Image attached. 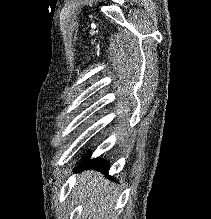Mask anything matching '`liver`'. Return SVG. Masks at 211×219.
<instances>
[{
	"label": "liver",
	"instance_id": "6515ba94",
	"mask_svg": "<svg viewBox=\"0 0 211 219\" xmlns=\"http://www.w3.org/2000/svg\"><path fill=\"white\" fill-rule=\"evenodd\" d=\"M74 190L75 200L84 203L82 219H110L117 191L102 174L93 170L81 173Z\"/></svg>",
	"mask_w": 211,
	"mask_h": 219
}]
</instances>
